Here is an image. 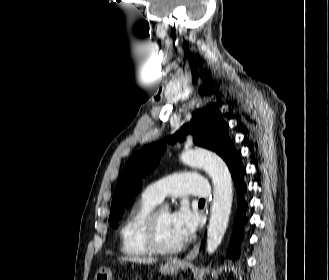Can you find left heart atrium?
Here are the masks:
<instances>
[{
  "label": "left heart atrium",
  "mask_w": 329,
  "mask_h": 280,
  "mask_svg": "<svg viewBox=\"0 0 329 280\" xmlns=\"http://www.w3.org/2000/svg\"><path fill=\"white\" fill-rule=\"evenodd\" d=\"M173 229L180 241L188 240L196 231L198 217L187 205L180 206L170 214Z\"/></svg>",
  "instance_id": "obj_1"
}]
</instances>
